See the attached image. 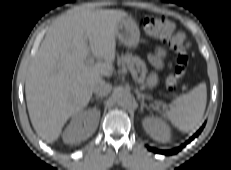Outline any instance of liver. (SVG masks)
<instances>
[{
  "instance_id": "liver-1",
  "label": "liver",
  "mask_w": 231,
  "mask_h": 170,
  "mask_svg": "<svg viewBox=\"0 0 231 170\" xmlns=\"http://www.w3.org/2000/svg\"><path fill=\"white\" fill-rule=\"evenodd\" d=\"M127 16L121 10L77 6L51 25L25 82L32 126L47 143L55 142L67 120L88 105L94 85L112 75L117 25ZM90 51L104 62L88 64Z\"/></svg>"
}]
</instances>
